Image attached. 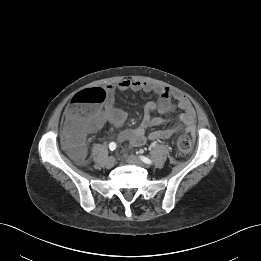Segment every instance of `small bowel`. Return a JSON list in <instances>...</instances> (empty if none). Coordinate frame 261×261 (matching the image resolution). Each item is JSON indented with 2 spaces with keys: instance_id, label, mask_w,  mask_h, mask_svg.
<instances>
[{
  "instance_id": "small-bowel-1",
  "label": "small bowel",
  "mask_w": 261,
  "mask_h": 261,
  "mask_svg": "<svg viewBox=\"0 0 261 261\" xmlns=\"http://www.w3.org/2000/svg\"><path fill=\"white\" fill-rule=\"evenodd\" d=\"M145 92L154 93L158 96L157 101H149L145 105L144 115L137 128L123 130L118 133V139L128 141L132 146L140 147L147 139L155 141L168 139L179 132L195 134V116L190 101L181 93L168 87L155 85L146 81L124 79L116 84L108 85L106 88V99L88 121L87 131L94 132L109 123L116 128L122 126L126 120V113L115 105L116 92ZM176 109L182 110L178 115V124L165 129L150 132L149 128L164 125L168 122L166 118L154 116V113L168 114Z\"/></svg>"
}]
</instances>
